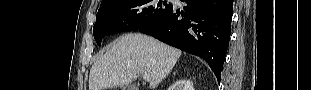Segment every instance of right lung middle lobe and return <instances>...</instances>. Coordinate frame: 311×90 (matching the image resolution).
Instances as JSON below:
<instances>
[{
    "mask_svg": "<svg viewBox=\"0 0 311 90\" xmlns=\"http://www.w3.org/2000/svg\"><path fill=\"white\" fill-rule=\"evenodd\" d=\"M173 8L162 0H106L101 3L93 27L94 38L101 45L102 38L122 31H137L150 26Z\"/></svg>",
    "mask_w": 311,
    "mask_h": 90,
    "instance_id": "obj_1",
    "label": "right lung middle lobe"
}]
</instances>
